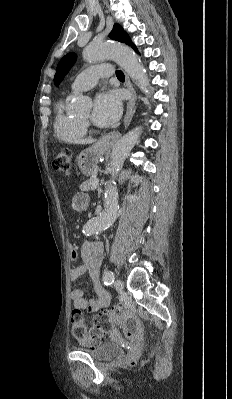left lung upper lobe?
<instances>
[{
	"label": "left lung upper lobe",
	"mask_w": 232,
	"mask_h": 399,
	"mask_svg": "<svg viewBox=\"0 0 232 399\" xmlns=\"http://www.w3.org/2000/svg\"><path fill=\"white\" fill-rule=\"evenodd\" d=\"M110 38L131 45V47L134 50L137 49L136 46L131 42L127 33L123 30V28L119 24L114 25L113 30L110 33ZM76 58H77L76 54L69 53L60 60L56 69V74L54 76V84L56 86L60 84L64 76L74 65Z\"/></svg>",
	"instance_id": "5c2ea615"
}]
</instances>
